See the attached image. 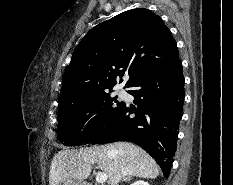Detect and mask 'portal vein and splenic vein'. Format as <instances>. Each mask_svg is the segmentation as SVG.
Listing matches in <instances>:
<instances>
[{
	"instance_id": "obj_1",
	"label": "portal vein and splenic vein",
	"mask_w": 233,
	"mask_h": 185,
	"mask_svg": "<svg viewBox=\"0 0 233 185\" xmlns=\"http://www.w3.org/2000/svg\"><path fill=\"white\" fill-rule=\"evenodd\" d=\"M107 178H108L107 175L102 173V172H98L96 174V182L97 183H104L107 181Z\"/></svg>"
}]
</instances>
